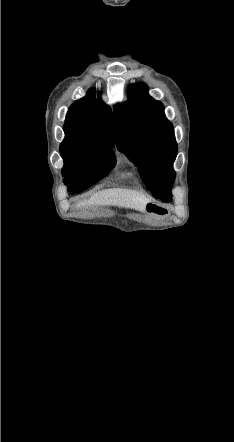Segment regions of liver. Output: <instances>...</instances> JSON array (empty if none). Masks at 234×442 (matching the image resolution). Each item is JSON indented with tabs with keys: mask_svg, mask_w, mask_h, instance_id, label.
<instances>
[{
	"mask_svg": "<svg viewBox=\"0 0 234 442\" xmlns=\"http://www.w3.org/2000/svg\"><path fill=\"white\" fill-rule=\"evenodd\" d=\"M149 200L142 194L127 189H107L92 195L88 200L78 203V207L91 205H114L144 211Z\"/></svg>",
	"mask_w": 234,
	"mask_h": 442,
	"instance_id": "1",
	"label": "liver"
}]
</instances>
